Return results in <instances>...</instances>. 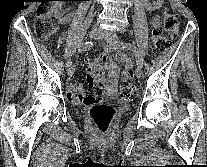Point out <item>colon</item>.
<instances>
[{"label":"colon","mask_w":207,"mask_h":167,"mask_svg":"<svg viewBox=\"0 0 207 167\" xmlns=\"http://www.w3.org/2000/svg\"><path fill=\"white\" fill-rule=\"evenodd\" d=\"M37 21L35 29L38 33L50 36L55 30L56 26L52 20V13L50 7L41 6L37 9ZM164 22L162 30L166 32L167 36L162 34L161 29H154L152 34V43L154 49L163 53L169 47L172 40L176 39L180 31V22L178 16L169 8L163 12ZM136 85L132 82H124L119 87V92L123 97H132L136 93ZM113 110L104 105H98L91 110V119L101 133H105L113 119Z\"/></svg>","instance_id":"5ec220e1"}]
</instances>
